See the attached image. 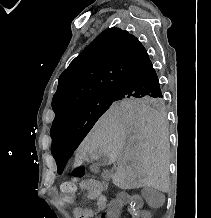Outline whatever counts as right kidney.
<instances>
[{
    "label": "right kidney",
    "instance_id": "ca27d5eb",
    "mask_svg": "<svg viewBox=\"0 0 211 218\" xmlns=\"http://www.w3.org/2000/svg\"><path fill=\"white\" fill-rule=\"evenodd\" d=\"M116 198L118 201H112V206H108L109 218H141L140 215L131 214L139 213V202L143 201L142 197H137L136 193H116ZM120 206H124V209H120Z\"/></svg>",
    "mask_w": 211,
    "mask_h": 218
}]
</instances>
